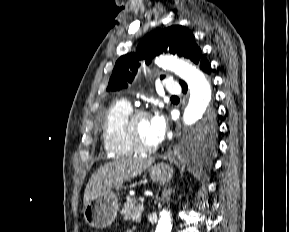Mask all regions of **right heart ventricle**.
<instances>
[{
    "mask_svg": "<svg viewBox=\"0 0 289 232\" xmlns=\"http://www.w3.org/2000/svg\"><path fill=\"white\" fill-rule=\"evenodd\" d=\"M132 110L125 100H117L106 109L101 125L103 145L106 152L116 158L131 157L137 152L129 145L123 134V123Z\"/></svg>",
    "mask_w": 289,
    "mask_h": 232,
    "instance_id": "right-heart-ventricle-1",
    "label": "right heart ventricle"
}]
</instances>
